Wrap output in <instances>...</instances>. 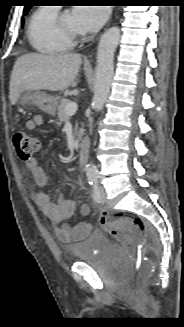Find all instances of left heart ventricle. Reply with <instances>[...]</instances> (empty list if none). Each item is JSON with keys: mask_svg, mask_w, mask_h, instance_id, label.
Instances as JSON below:
<instances>
[{"mask_svg": "<svg viewBox=\"0 0 184 327\" xmlns=\"http://www.w3.org/2000/svg\"><path fill=\"white\" fill-rule=\"evenodd\" d=\"M63 24L68 29L78 31L76 20L71 12L63 13Z\"/></svg>", "mask_w": 184, "mask_h": 327, "instance_id": "1", "label": "left heart ventricle"}]
</instances>
